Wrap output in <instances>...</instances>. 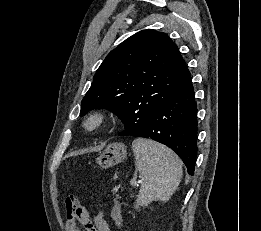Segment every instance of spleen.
Wrapping results in <instances>:
<instances>
[{
  "mask_svg": "<svg viewBox=\"0 0 261 231\" xmlns=\"http://www.w3.org/2000/svg\"><path fill=\"white\" fill-rule=\"evenodd\" d=\"M132 148L142 180L136 209L154 200L167 202L182 178V164L178 156L150 139L137 138L132 142Z\"/></svg>",
  "mask_w": 261,
  "mask_h": 231,
  "instance_id": "spleen-1",
  "label": "spleen"
}]
</instances>
